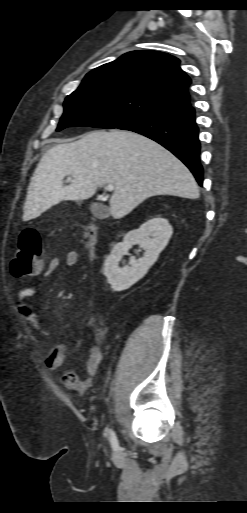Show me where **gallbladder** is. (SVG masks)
<instances>
[{"instance_id": "1", "label": "gallbladder", "mask_w": 247, "mask_h": 513, "mask_svg": "<svg viewBox=\"0 0 247 513\" xmlns=\"http://www.w3.org/2000/svg\"><path fill=\"white\" fill-rule=\"evenodd\" d=\"M90 209L92 214L97 218H105L109 214L108 208L101 203L91 204Z\"/></svg>"}]
</instances>
